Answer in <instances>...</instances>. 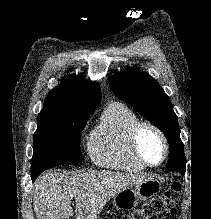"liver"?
I'll return each mask as SVG.
<instances>
[{
	"label": "liver",
	"mask_w": 211,
	"mask_h": 219,
	"mask_svg": "<svg viewBox=\"0 0 211 219\" xmlns=\"http://www.w3.org/2000/svg\"><path fill=\"white\" fill-rule=\"evenodd\" d=\"M145 176L111 171L66 174L47 171L35 181L34 211L37 219H97L104 205L120 191L138 185Z\"/></svg>",
	"instance_id": "obj_1"
}]
</instances>
